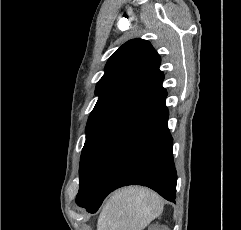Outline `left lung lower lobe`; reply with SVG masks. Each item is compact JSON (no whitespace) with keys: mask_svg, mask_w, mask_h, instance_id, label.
<instances>
[{"mask_svg":"<svg viewBox=\"0 0 241 230\" xmlns=\"http://www.w3.org/2000/svg\"><path fill=\"white\" fill-rule=\"evenodd\" d=\"M166 96L163 89L96 153L86 171L79 206L95 213L111 191L131 184L150 187L165 199L175 200L177 173Z\"/></svg>","mask_w":241,"mask_h":230,"instance_id":"obj_1","label":"left lung lower lobe"}]
</instances>
